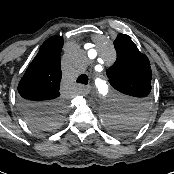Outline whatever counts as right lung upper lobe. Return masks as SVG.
<instances>
[{
  "instance_id": "1",
  "label": "right lung upper lobe",
  "mask_w": 174,
  "mask_h": 174,
  "mask_svg": "<svg viewBox=\"0 0 174 174\" xmlns=\"http://www.w3.org/2000/svg\"><path fill=\"white\" fill-rule=\"evenodd\" d=\"M63 44L60 36H53L42 44L18 85L21 100L48 104L60 102L62 72L59 56Z\"/></svg>"
}]
</instances>
